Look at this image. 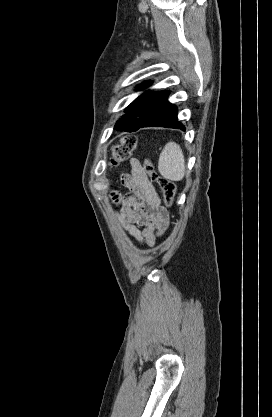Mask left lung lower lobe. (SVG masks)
<instances>
[{
	"mask_svg": "<svg viewBox=\"0 0 272 417\" xmlns=\"http://www.w3.org/2000/svg\"><path fill=\"white\" fill-rule=\"evenodd\" d=\"M142 127H167L185 130L184 125L177 120V107L169 103L167 98H165L159 109L140 128Z\"/></svg>",
	"mask_w": 272,
	"mask_h": 417,
	"instance_id": "0a47b994",
	"label": "left lung lower lobe"
}]
</instances>
